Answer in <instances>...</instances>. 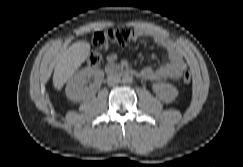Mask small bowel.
<instances>
[{"mask_svg": "<svg viewBox=\"0 0 243 167\" xmlns=\"http://www.w3.org/2000/svg\"><path fill=\"white\" fill-rule=\"evenodd\" d=\"M141 38H149L157 46L164 49L168 55L169 61L154 68L146 66L141 70L142 77L149 81H157L163 79H179L183 72L187 69L182 49L168 37L160 32L138 27L133 30V40L137 41ZM117 55L111 53L107 57L110 64L115 63Z\"/></svg>", "mask_w": 243, "mask_h": 167, "instance_id": "c3829d8e", "label": "small bowel"}]
</instances>
